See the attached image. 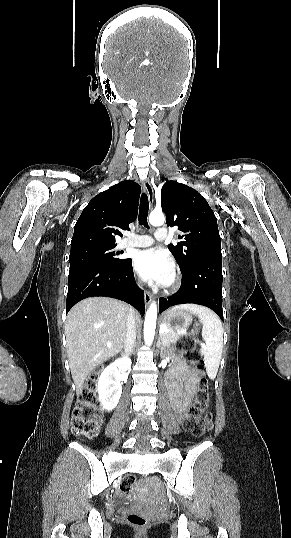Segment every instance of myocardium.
Returning <instances> with one entry per match:
<instances>
[{
  "label": "myocardium",
  "instance_id": "obj_1",
  "mask_svg": "<svg viewBox=\"0 0 291 538\" xmlns=\"http://www.w3.org/2000/svg\"><path fill=\"white\" fill-rule=\"evenodd\" d=\"M181 284V277L180 275L173 270V274L171 279L168 281V283L165 284L164 288L166 291H173L176 290Z\"/></svg>",
  "mask_w": 291,
  "mask_h": 538
}]
</instances>
